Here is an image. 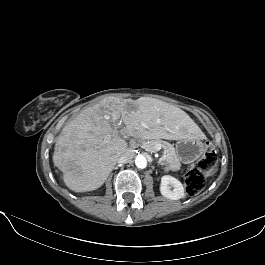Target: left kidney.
I'll use <instances>...</instances> for the list:
<instances>
[{
    "mask_svg": "<svg viewBox=\"0 0 265 265\" xmlns=\"http://www.w3.org/2000/svg\"><path fill=\"white\" fill-rule=\"evenodd\" d=\"M171 187H173V190H171ZM160 192L164 197L171 200H179L185 197L182 183L170 175L161 178Z\"/></svg>",
    "mask_w": 265,
    "mask_h": 265,
    "instance_id": "obj_1",
    "label": "left kidney"
}]
</instances>
